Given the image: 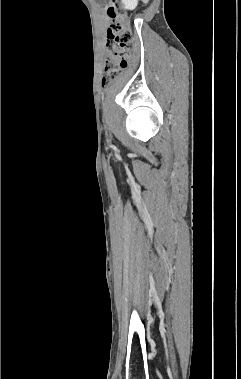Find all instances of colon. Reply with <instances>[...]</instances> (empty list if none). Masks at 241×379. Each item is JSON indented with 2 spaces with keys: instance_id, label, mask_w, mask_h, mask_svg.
Here are the masks:
<instances>
[{
  "instance_id": "5ec220e1",
  "label": "colon",
  "mask_w": 241,
  "mask_h": 379,
  "mask_svg": "<svg viewBox=\"0 0 241 379\" xmlns=\"http://www.w3.org/2000/svg\"><path fill=\"white\" fill-rule=\"evenodd\" d=\"M104 9L113 21L109 36L111 48L104 66L106 76L103 84L108 86L129 65L133 51V35L131 30L123 24V15L113 1L107 3Z\"/></svg>"
}]
</instances>
